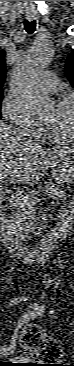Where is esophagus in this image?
Masks as SVG:
<instances>
[{
  "instance_id": "34e87169",
  "label": "esophagus",
  "mask_w": 74,
  "mask_h": 366,
  "mask_svg": "<svg viewBox=\"0 0 74 366\" xmlns=\"http://www.w3.org/2000/svg\"><path fill=\"white\" fill-rule=\"evenodd\" d=\"M27 19L30 20V21L36 19L35 14L28 15Z\"/></svg>"
}]
</instances>
